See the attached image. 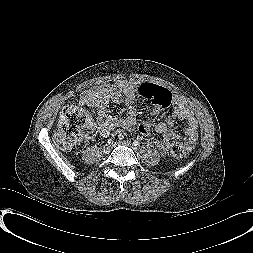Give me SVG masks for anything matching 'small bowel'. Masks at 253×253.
I'll list each match as a JSON object with an SVG mask.
<instances>
[{"label": "small bowel", "instance_id": "small-bowel-1", "mask_svg": "<svg viewBox=\"0 0 253 253\" xmlns=\"http://www.w3.org/2000/svg\"><path fill=\"white\" fill-rule=\"evenodd\" d=\"M135 93L148 97V103L156 112L167 111L172 104V94L166 88L156 84L138 80H121L113 87L101 86L95 89L83 91L76 104L71 105L84 112L88 117L90 126H98L100 136L106 137L115 128L134 130L137 128L142 135H148L152 129V118L137 123V115L134 110H129L124 117L110 114L109 107L113 103L123 101L131 105L135 100ZM96 117V121L94 119ZM176 120L185 121L184 135L173 131ZM154 130L161 136L153 141L155 152L165 155L174 144H180L186 152H190L198 141V123L186 101L179 96L173 97L172 112L162 122L154 126Z\"/></svg>", "mask_w": 253, "mask_h": 253}]
</instances>
